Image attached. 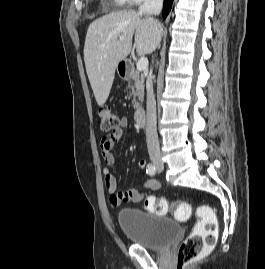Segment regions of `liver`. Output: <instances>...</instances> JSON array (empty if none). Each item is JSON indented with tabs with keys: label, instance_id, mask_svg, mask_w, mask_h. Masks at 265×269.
<instances>
[{
	"label": "liver",
	"instance_id": "1",
	"mask_svg": "<svg viewBox=\"0 0 265 269\" xmlns=\"http://www.w3.org/2000/svg\"><path fill=\"white\" fill-rule=\"evenodd\" d=\"M133 35L136 52L150 54L161 41L162 25L150 16L143 18L134 10L109 13L89 25L84 62L99 106H103L109 96L118 63L131 52Z\"/></svg>",
	"mask_w": 265,
	"mask_h": 269
}]
</instances>
